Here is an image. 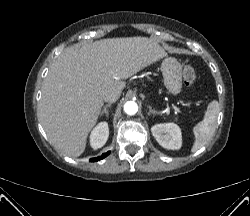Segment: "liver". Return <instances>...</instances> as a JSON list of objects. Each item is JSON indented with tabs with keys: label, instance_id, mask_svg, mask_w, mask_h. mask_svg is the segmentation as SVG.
Masks as SVG:
<instances>
[{
	"label": "liver",
	"instance_id": "liver-1",
	"mask_svg": "<svg viewBox=\"0 0 250 216\" xmlns=\"http://www.w3.org/2000/svg\"><path fill=\"white\" fill-rule=\"evenodd\" d=\"M166 55L147 37L109 38L65 49L49 69L38 107L49 141L68 156H80L103 107V94L122 91V80Z\"/></svg>",
	"mask_w": 250,
	"mask_h": 216
}]
</instances>
